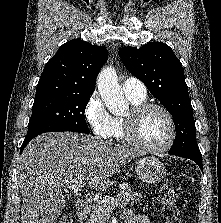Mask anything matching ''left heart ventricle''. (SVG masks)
I'll return each mask as SVG.
<instances>
[{"mask_svg": "<svg viewBox=\"0 0 221 223\" xmlns=\"http://www.w3.org/2000/svg\"><path fill=\"white\" fill-rule=\"evenodd\" d=\"M169 134L168 119L160 110L146 111L137 123V138L145 144L160 146L168 140Z\"/></svg>", "mask_w": 221, "mask_h": 223, "instance_id": "1", "label": "left heart ventricle"}]
</instances>
